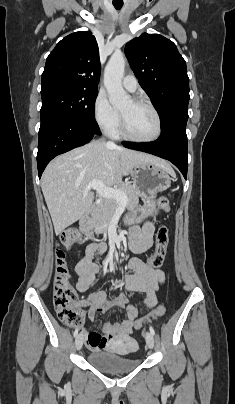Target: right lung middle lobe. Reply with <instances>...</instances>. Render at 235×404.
Wrapping results in <instances>:
<instances>
[{
  "label": "right lung middle lobe",
  "instance_id": "1",
  "mask_svg": "<svg viewBox=\"0 0 235 404\" xmlns=\"http://www.w3.org/2000/svg\"><path fill=\"white\" fill-rule=\"evenodd\" d=\"M97 94L96 90H85L62 83L42 85L41 122L64 118L96 125L94 113Z\"/></svg>",
  "mask_w": 235,
  "mask_h": 404
}]
</instances>
